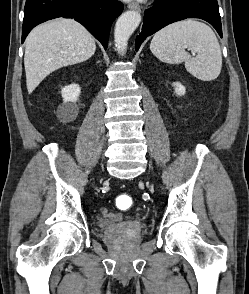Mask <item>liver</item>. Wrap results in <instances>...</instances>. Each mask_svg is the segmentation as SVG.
<instances>
[{
    "instance_id": "liver-1",
    "label": "liver",
    "mask_w": 249,
    "mask_h": 294,
    "mask_svg": "<svg viewBox=\"0 0 249 294\" xmlns=\"http://www.w3.org/2000/svg\"><path fill=\"white\" fill-rule=\"evenodd\" d=\"M92 35L73 19H56L35 27L26 39L24 67L28 93L53 71L92 57Z\"/></svg>"
}]
</instances>
